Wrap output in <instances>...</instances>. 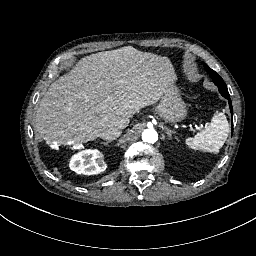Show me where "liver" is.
Masks as SVG:
<instances>
[{"label": "liver", "mask_w": 256, "mask_h": 256, "mask_svg": "<svg viewBox=\"0 0 256 256\" xmlns=\"http://www.w3.org/2000/svg\"><path fill=\"white\" fill-rule=\"evenodd\" d=\"M176 79L167 57L132 46L91 54L50 85L36 111L37 132L48 144L94 141L109 129L126 128Z\"/></svg>", "instance_id": "obj_1"}]
</instances>
